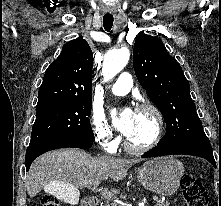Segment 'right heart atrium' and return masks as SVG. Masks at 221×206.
<instances>
[{"instance_id": "right-heart-atrium-1", "label": "right heart atrium", "mask_w": 221, "mask_h": 206, "mask_svg": "<svg viewBox=\"0 0 221 206\" xmlns=\"http://www.w3.org/2000/svg\"><path fill=\"white\" fill-rule=\"evenodd\" d=\"M91 124L97 143L107 152L115 151L118 145V138L115 136L101 111H93Z\"/></svg>"}]
</instances>
